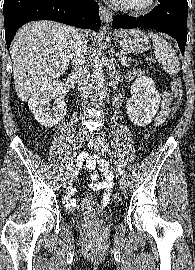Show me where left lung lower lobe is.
Returning a JSON list of instances; mask_svg holds the SVG:
<instances>
[{"instance_id":"left-lung-lower-lobe-1","label":"left lung lower lobe","mask_w":195,"mask_h":270,"mask_svg":"<svg viewBox=\"0 0 195 270\" xmlns=\"http://www.w3.org/2000/svg\"><path fill=\"white\" fill-rule=\"evenodd\" d=\"M160 4L152 12L138 18L116 16L112 27L131 29L136 27L155 29L166 33L178 42L181 53L184 55L187 41V0H159Z\"/></svg>"}]
</instances>
